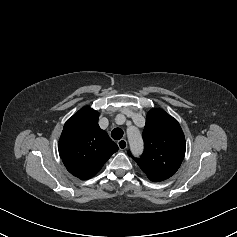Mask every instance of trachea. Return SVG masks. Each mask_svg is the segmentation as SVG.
<instances>
[{"instance_id":"3493384b","label":"trachea","mask_w":237,"mask_h":237,"mask_svg":"<svg viewBox=\"0 0 237 237\" xmlns=\"http://www.w3.org/2000/svg\"><path fill=\"white\" fill-rule=\"evenodd\" d=\"M111 136L115 140H120L123 137V130L120 128H115L112 130Z\"/></svg>"}]
</instances>
